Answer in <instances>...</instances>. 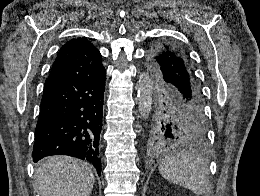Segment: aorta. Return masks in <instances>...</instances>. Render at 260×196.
Masks as SVG:
<instances>
[{
    "instance_id": "aorta-1",
    "label": "aorta",
    "mask_w": 260,
    "mask_h": 196,
    "mask_svg": "<svg viewBox=\"0 0 260 196\" xmlns=\"http://www.w3.org/2000/svg\"><path fill=\"white\" fill-rule=\"evenodd\" d=\"M138 108L140 116L146 119L151 111L152 85L148 72H143L137 85Z\"/></svg>"
}]
</instances>
